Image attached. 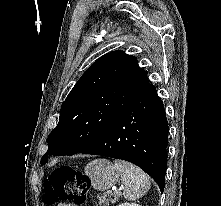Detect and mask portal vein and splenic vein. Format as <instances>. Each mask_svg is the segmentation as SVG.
Listing matches in <instances>:
<instances>
[{"mask_svg": "<svg viewBox=\"0 0 221 206\" xmlns=\"http://www.w3.org/2000/svg\"><path fill=\"white\" fill-rule=\"evenodd\" d=\"M108 194H112V191H111V190H108Z\"/></svg>", "mask_w": 221, "mask_h": 206, "instance_id": "1", "label": "portal vein and splenic vein"}]
</instances>
